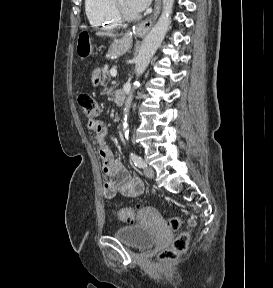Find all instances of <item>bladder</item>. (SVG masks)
<instances>
[{
	"instance_id": "1",
	"label": "bladder",
	"mask_w": 273,
	"mask_h": 288,
	"mask_svg": "<svg viewBox=\"0 0 273 288\" xmlns=\"http://www.w3.org/2000/svg\"><path fill=\"white\" fill-rule=\"evenodd\" d=\"M124 245L138 250H146L152 247L157 240L156 234L140 225L123 226L114 233Z\"/></svg>"
}]
</instances>
